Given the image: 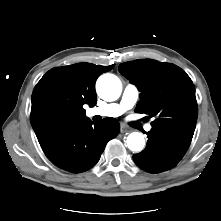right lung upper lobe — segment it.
<instances>
[{"label": "right lung upper lobe", "instance_id": "right-lung-upper-lobe-1", "mask_svg": "<svg viewBox=\"0 0 221 221\" xmlns=\"http://www.w3.org/2000/svg\"><path fill=\"white\" fill-rule=\"evenodd\" d=\"M114 65L77 63L49 70L32 93L30 120L39 142L57 129L87 120L85 104L95 106V82Z\"/></svg>", "mask_w": 221, "mask_h": 221}]
</instances>
